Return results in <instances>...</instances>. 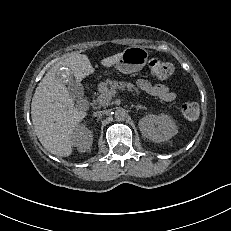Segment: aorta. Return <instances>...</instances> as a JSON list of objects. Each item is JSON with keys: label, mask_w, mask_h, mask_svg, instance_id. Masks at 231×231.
I'll return each mask as SVG.
<instances>
[{"label": "aorta", "mask_w": 231, "mask_h": 231, "mask_svg": "<svg viewBox=\"0 0 231 231\" xmlns=\"http://www.w3.org/2000/svg\"><path fill=\"white\" fill-rule=\"evenodd\" d=\"M115 119L118 121H123L127 117V111L123 108H117L114 113Z\"/></svg>", "instance_id": "1"}]
</instances>
